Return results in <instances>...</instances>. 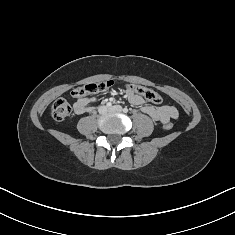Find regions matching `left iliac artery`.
Listing matches in <instances>:
<instances>
[{
    "label": "left iliac artery",
    "mask_w": 235,
    "mask_h": 235,
    "mask_svg": "<svg viewBox=\"0 0 235 235\" xmlns=\"http://www.w3.org/2000/svg\"><path fill=\"white\" fill-rule=\"evenodd\" d=\"M123 112H124V113H127V112H128V109H127V108H124V109H123Z\"/></svg>",
    "instance_id": "44dca946"
}]
</instances>
